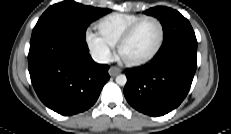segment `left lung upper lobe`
Masks as SVG:
<instances>
[{
	"label": "left lung upper lobe",
	"instance_id": "1",
	"mask_svg": "<svg viewBox=\"0 0 231 134\" xmlns=\"http://www.w3.org/2000/svg\"><path fill=\"white\" fill-rule=\"evenodd\" d=\"M144 14L160 20L163 26L162 49L178 42L196 40L191 24L178 11L168 7H154L146 10Z\"/></svg>",
	"mask_w": 231,
	"mask_h": 134
}]
</instances>
